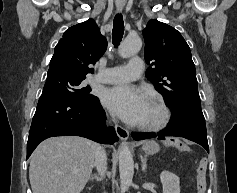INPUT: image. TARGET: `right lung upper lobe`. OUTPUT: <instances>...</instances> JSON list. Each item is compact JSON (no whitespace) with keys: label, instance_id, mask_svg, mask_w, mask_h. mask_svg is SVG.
Here are the masks:
<instances>
[{"label":"right lung upper lobe","instance_id":"cb5924a9","mask_svg":"<svg viewBox=\"0 0 237 193\" xmlns=\"http://www.w3.org/2000/svg\"><path fill=\"white\" fill-rule=\"evenodd\" d=\"M106 48L107 40L93 19L74 25L56 45L48 72L85 78L86 74L93 73L88 65L95 64Z\"/></svg>","mask_w":237,"mask_h":193}]
</instances>
